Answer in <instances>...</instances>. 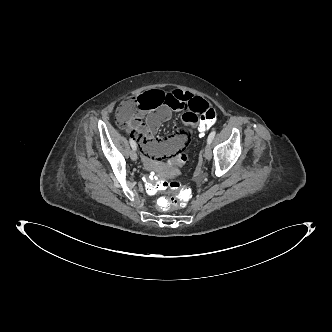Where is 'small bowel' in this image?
I'll return each mask as SVG.
<instances>
[{
    "mask_svg": "<svg viewBox=\"0 0 332 332\" xmlns=\"http://www.w3.org/2000/svg\"><path fill=\"white\" fill-rule=\"evenodd\" d=\"M137 111L123 120L118 111L120 122H125L132 136L139 142L143 161L147 166L157 160H165L169 154L181 151L188 146L191 133L184 131L166 139H156L161 125L171 118L173 111H183L182 120L188 127L197 128L199 115L209 107V103L190 92L162 88L144 89L137 98Z\"/></svg>",
    "mask_w": 332,
    "mask_h": 332,
    "instance_id": "small-bowel-1",
    "label": "small bowel"
}]
</instances>
